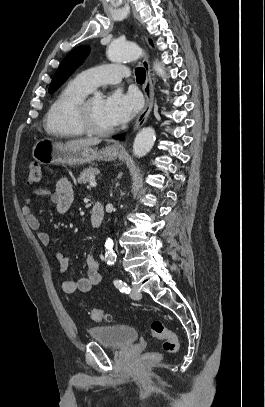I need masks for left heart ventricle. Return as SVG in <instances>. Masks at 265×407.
Here are the masks:
<instances>
[{
    "instance_id": "b2bd125f",
    "label": "left heart ventricle",
    "mask_w": 265,
    "mask_h": 407,
    "mask_svg": "<svg viewBox=\"0 0 265 407\" xmlns=\"http://www.w3.org/2000/svg\"><path fill=\"white\" fill-rule=\"evenodd\" d=\"M90 110L93 123L100 129H109L113 126L109 123L104 112V100L99 97H93L90 103Z\"/></svg>"
}]
</instances>
